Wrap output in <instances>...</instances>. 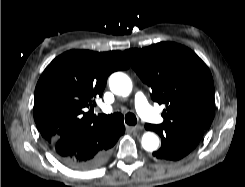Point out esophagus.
<instances>
[{
  "label": "esophagus",
  "instance_id": "1",
  "mask_svg": "<svg viewBox=\"0 0 245 187\" xmlns=\"http://www.w3.org/2000/svg\"><path fill=\"white\" fill-rule=\"evenodd\" d=\"M126 129L128 131H131V132L139 131V130H143V126H128V125H126Z\"/></svg>",
  "mask_w": 245,
  "mask_h": 187
}]
</instances>
